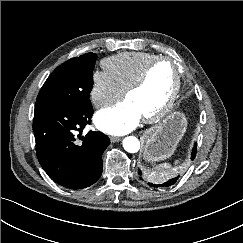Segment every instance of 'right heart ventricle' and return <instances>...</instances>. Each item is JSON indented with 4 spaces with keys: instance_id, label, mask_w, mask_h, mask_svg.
Segmentation results:
<instances>
[{
    "instance_id": "obj_1",
    "label": "right heart ventricle",
    "mask_w": 243,
    "mask_h": 243,
    "mask_svg": "<svg viewBox=\"0 0 243 243\" xmlns=\"http://www.w3.org/2000/svg\"><path fill=\"white\" fill-rule=\"evenodd\" d=\"M157 55L147 52H125L108 57L103 66L124 90Z\"/></svg>"
}]
</instances>
